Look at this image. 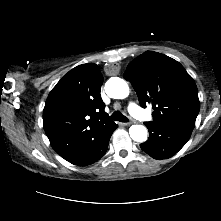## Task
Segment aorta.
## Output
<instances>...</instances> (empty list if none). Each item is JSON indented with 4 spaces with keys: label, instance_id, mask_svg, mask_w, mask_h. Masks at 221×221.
Wrapping results in <instances>:
<instances>
[{
    "label": "aorta",
    "instance_id": "762f6f07",
    "mask_svg": "<svg viewBox=\"0 0 221 221\" xmlns=\"http://www.w3.org/2000/svg\"><path fill=\"white\" fill-rule=\"evenodd\" d=\"M107 95L114 99H124L129 95L127 82L118 77L110 78L105 84ZM130 137L136 142H145L148 137L147 129L144 125H132L129 128Z\"/></svg>",
    "mask_w": 221,
    "mask_h": 221
}]
</instances>
